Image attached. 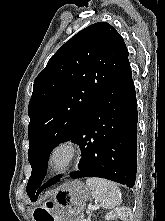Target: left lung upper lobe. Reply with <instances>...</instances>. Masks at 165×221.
Here are the masks:
<instances>
[{"label":"left lung upper lobe","mask_w":165,"mask_h":221,"mask_svg":"<svg viewBox=\"0 0 165 221\" xmlns=\"http://www.w3.org/2000/svg\"><path fill=\"white\" fill-rule=\"evenodd\" d=\"M128 61L121 35L106 22L92 24L62 45L34 81L29 102L27 195L34 201L52 150L70 140Z\"/></svg>","instance_id":"1"}]
</instances>
